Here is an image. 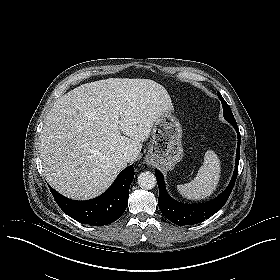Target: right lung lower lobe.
Here are the masks:
<instances>
[{"instance_id": "98d812e1", "label": "right lung lower lobe", "mask_w": 280, "mask_h": 280, "mask_svg": "<svg viewBox=\"0 0 280 280\" xmlns=\"http://www.w3.org/2000/svg\"><path fill=\"white\" fill-rule=\"evenodd\" d=\"M133 178L134 168L130 165L118 175L104 194L87 201L71 200L51 187L50 190L59 207L68 216L85 224L102 226L116 221L124 213Z\"/></svg>"}]
</instances>
